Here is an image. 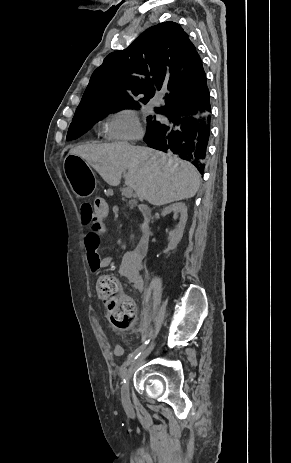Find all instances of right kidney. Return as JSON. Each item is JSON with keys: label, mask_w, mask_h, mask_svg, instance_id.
<instances>
[{"label": "right kidney", "mask_w": 291, "mask_h": 463, "mask_svg": "<svg viewBox=\"0 0 291 463\" xmlns=\"http://www.w3.org/2000/svg\"><path fill=\"white\" fill-rule=\"evenodd\" d=\"M171 212H174L175 215L179 214L180 215V221H179V224L176 226V228L169 232L168 248L170 250L176 248L178 243L181 241L182 236H183V232H184V228H185V225H186L187 217H188V215H187V207L182 202L174 203V204H171V205L165 207L163 209V211H162V216H165V215H167V214H169Z\"/></svg>", "instance_id": "1"}]
</instances>
